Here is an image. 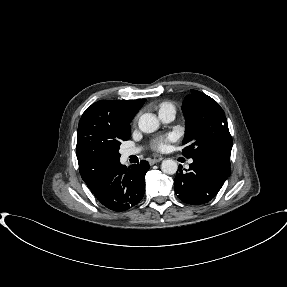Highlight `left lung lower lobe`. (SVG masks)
I'll return each mask as SVG.
<instances>
[{"instance_id": "0a47b994", "label": "left lung lower lobe", "mask_w": 287, "mask_h": 287, "mask_svg": "<svg viewBox=\"0 0 287 287\" xmlns=\"http://www.w3.org/2000/svg\"><path fill=\"white\" fill-rule=\"evenodd\" d=\"M189 169L179 166L174 179L178 198L188 204H204L216 196L230 176V157L223 154H204L193 157Z\"/></svg>"}]
</instances>
